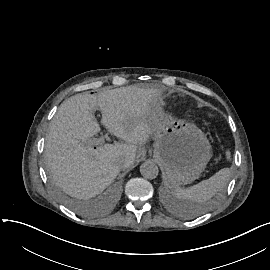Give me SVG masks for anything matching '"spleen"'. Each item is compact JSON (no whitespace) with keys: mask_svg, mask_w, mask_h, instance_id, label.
Masks as SVG:
<instances>
[{"mask_svg":"<svg viewBox=\"0 0 270 270\" xmlns=\"http://www.w3.org/2000/svg\"><path fill=\"white\" fill-rule=\"evenodd\" d=\"M230 177L231 170L223 168L209 179L203 180L189 189H181L168 182L165 186L172 190V195L182 204L186 211L194 214L202 203L207 202L218 191L226 188Z\"/></svg>","mask_w":270,"mask_h":270,"instance_id":"1","label":"spleen"}]
</instances>
